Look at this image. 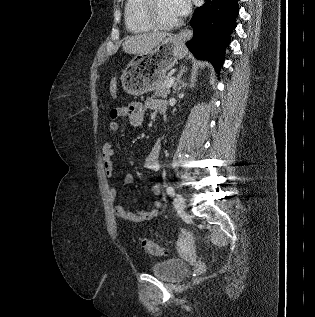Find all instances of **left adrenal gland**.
Here are the masks:
<instances>
[{
    "instance_id": "a2214340",
    "label": "left adrenal gland",
    "mask_w": 315,
    "mask_h": 317,
    "mask_svg": "<svg viewBox=\"0 0 315 317\" xmlns=\"http://www.w3.org/2000/svg\"><path fill=\"white\" fill-rule=\"evenodd\" d=\"M182 73H183V72H182V70H181L180 73H179V75H178V77H177V80H176V82H175V84H174V86H173V88H174L175 91L177 90V85L181 83Z\"/></svg>"
}]
</instances>
